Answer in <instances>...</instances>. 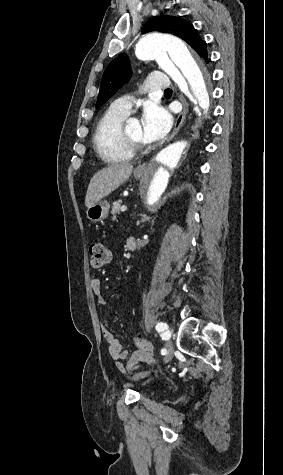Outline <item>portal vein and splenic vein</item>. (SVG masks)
<instances>
[{"label": "portal vein and splenic vein", "mask_w": 283, "mask_h": 475, "mask_svg": "<svg viewBox=\"0 0 283 475\" xmlns=\"http://www.w3.org/2000/svg\"><path fill=\"white\" fill-rule=\"evenodd\" d=\"M120 210H121V212H126L127 206H121Z\"/></svg>", "instance_id": "obj_1"}]
</instances>
